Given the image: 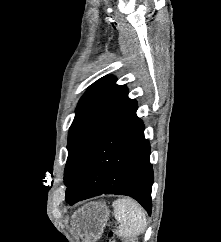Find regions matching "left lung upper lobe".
<instances>
[{"label":"left lung upper lobe","mask_w":221,"mask_h":242,"mask_svg":"<svg viewBox=\"0 0 221 242\" xmlns=\"http://www.w3.org/2000/svg\"><path fill=\"white\" fill-rule=\"evenodd\" d=\"M115 82V77H103L93 83L79 100L68 133V159L64 171L66 186L101 137L137 106L136 100L128 98V89Z\"/></svg>","instance_id":"left-lung-upper-lobe-1"}]
</instances>
